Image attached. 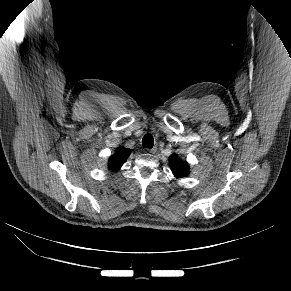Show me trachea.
Returning a JSON list of instances; mask_svg holds the SVG:
<instances>
[{"label":"trachea","mask_w":291,"mask_h":291,"mask_svg":"<svg viewBox=\"0 0 291 291\" xmlns=\"http://www.w3.org/2000/svg\"><path fill=\"white\" fill-rule=\"evenodd\" d=\"M154 144V139L151 134H146L143 139H142V145L144 148H149L151 149Z\"/></svg>","instance_id":"obj_1"}]
</instances>
